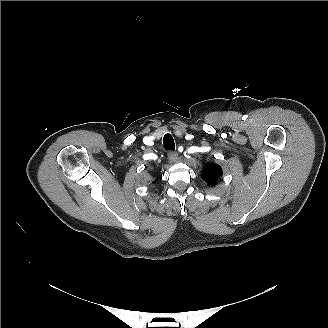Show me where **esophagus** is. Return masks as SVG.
<instances>
[{
    "label": "esophagus",
    "instance_id": "esophagus-1",
    "mask_svg": "<svg viewBox=\"0 0 328 328\" xmlns=\"http://www.w3.org/2000/svg\"><path fill=\"white\" fill-rule=\"evenodd\" d=\"M168 159H169V161H171V162H175V161H177V159H178V154H177V152L170 151V152L168 153Z\"/></svg>",
    "mask_w": 328,
    "mask_h": 328
}]
</instances>
